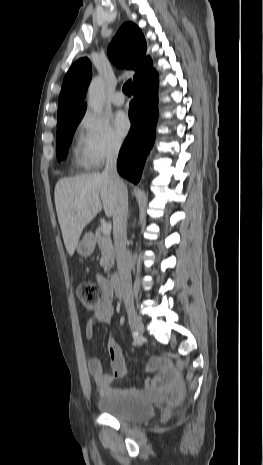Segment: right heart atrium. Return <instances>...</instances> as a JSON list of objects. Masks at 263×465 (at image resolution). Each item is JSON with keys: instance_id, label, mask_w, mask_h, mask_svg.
Wrapping results in <instances>:
<instances>
[{"instance_id": "obj_1", "label": "right heart atrium", "mask_w": 263, "mask_h": 465, "mask_svg": "<svg viewBox=\"0 0 263 465\" xmlns=\"http://www.w3.org/2000/svg\"><path fill=\"white\" fill-rule=\"evenodd\" d=\"M78 139L81 163L89 169H97L114 158L123 145L108 121L92 113L81 119Z\"/></svg>"}]
</instances>
